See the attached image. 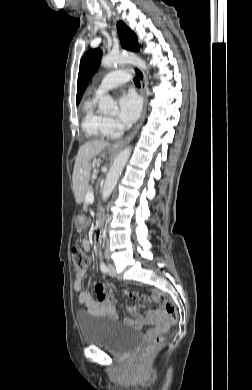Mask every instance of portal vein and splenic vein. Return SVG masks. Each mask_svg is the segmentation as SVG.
Returning <instances> with one entry per match:
<instances>
[{
  "label": "portal vein and splenic vein",
  "instance_id": "18ae733b",
  "mask_svg": "<svg viewBox=\"0 0 252 390\" xmlns=\"http://www.w3.org/2000/svg\"><path fill=\"white\" fill-rule=\"evenodd\" d=\"M85 200H86L87 203L92 204L93 201H94L93 193L92 192L87 193Z\"/></svg>",
  "mask_w": 252,
  "mask_h": 390
}]
</instances>
